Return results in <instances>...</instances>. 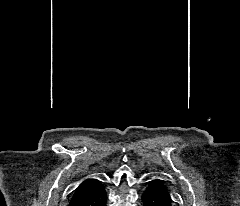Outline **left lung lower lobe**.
<instances>
[{
	"instance_id": "obj_1",
	"label": "left lung lower lobe",
	"mask_w": 240,
	"mask_h": 206,
	"mask_svg": "<svg viewBox=\"0 0 240 206\" xmlns=\"http://www.w3.org/2000/svg\"><path fill=\"white\" fill-rule=\"evenodd\" d=\"M143 206H172V198L167 185L161 179L148 183L142 195Z\"/></svg>"
}]
</instances>
